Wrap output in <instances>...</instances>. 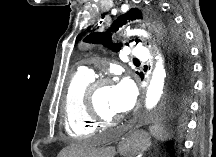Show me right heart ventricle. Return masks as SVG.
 <instances>
[{"label": "right heart ventricle", "instance_id": "e07e8e85", "mask_svg": "<svg viewBox=\"0 0 216 157\" xmlns=\"http://www.w3.org/2000/svg\"><path fill=\"white\" fill-rule=\"evenodd\" d=\"M92 77L80 72L71 74L63 99V127L72 137H83L95 132L97 124L88 116L85 105V90Z\"/></svg>", "mask_w": 216, "mask_h": 157}]
</instances>
